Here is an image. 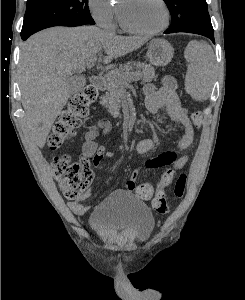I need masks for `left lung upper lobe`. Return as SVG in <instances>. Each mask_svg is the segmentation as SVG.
<instances>
[{
	"label": "left lung upper lobe",
	"instance_id": "left-lung-upper-lobe-1",
	"mask_svg": "<svg viewBox=\"0 0 245 300\" xmlns=\"http://www.w3.org/2000/svg\"><path fill=\"white\" fill-rule=\"evenodd\" d=\"M170 14L171 25L167 31L184 27L213 30L206 0H164Z\"/></svg>",
	"mask_w": 245,
	"mask_h": 300
}]
</instances>
